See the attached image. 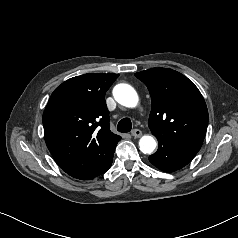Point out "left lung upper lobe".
<instances>
[{
	"instance_id": "1",
	"label": "left lung upper lobe",
	"mask_w": 238,
	"mask_h": 238,
	"mask_svg": "<svg viewBox=\"0 0 238 238\" xmlns=\"http://www.w3.org/2000/svg\"><path fill=\"white\" fill-rule=\"evenodd\" d=\"M148 88L151 113L148 126L159 144L198 152L205 138L208 110L198 88L181 73L151 68L135 74Z\"/></svg>"
}]
</instances>
